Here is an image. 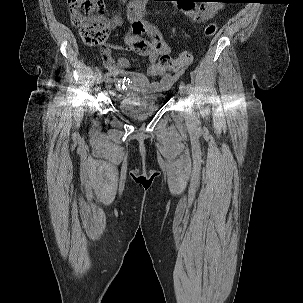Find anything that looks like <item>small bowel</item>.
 Segmentation results:
<instances>
[{"label": "small bowel", "instance_id": "c3829d8e", "mask_svg": "<svg viewBox=\"0 0 303 303\" xmlns=\"http://www.w3.org/2000/svg\"><path fill=\"white\" fill-rule=\"evenodd\" d=\"M147 0H131L127 7V17L131 24L129 33L126 36V42L136 53L148 58L152 66L147 72V76L142 73L130 72L128 68L130 62L126 57L114 59L111 49L105 45L101 49V58L104 67L115 78V82L120 89H124L126 84L132 85L140 92L164 91L170 88L175 81V75L171 72L163 74L159 79L150 81L148 77L158 74L154 63L164 52H169V47L163 40L160 31L156 26L144 20V7ZM220 0H208L197 2L186 0L183 5H179L185 15L193 21H207L222 9ZM122 24V18L116 14L110 21L112 28L119 27ZM146 34L148 38H144ZM175 71V70H174Z\"/></svg>", "mask_w": 303, "mask_h": 303}]
</instances>
